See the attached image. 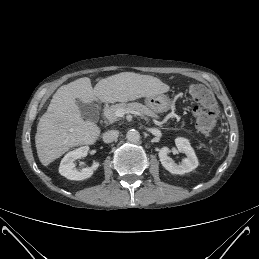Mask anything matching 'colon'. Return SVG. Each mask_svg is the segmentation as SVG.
I'll use <instances>...</instances> for the list:
<instances>
[{
    "label": "colon",
    "instance_id": "1",
    "mask_svg": "<svg viewBox=\"0 0 259 259\" xmlns=\"http://www.w3.org/2000/svg\"><path fill=\"white\" fill-rule=\"evenodd\" d=\"M192 104V114L196 128L200 133L209 136L217 122L215 100L212 93L201 84H193L188 89Z\"/></svg>",
    "mask_w": 259,
    "mask_h": 259
}]
</instances>
